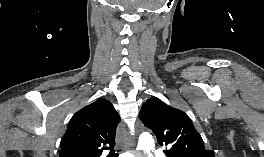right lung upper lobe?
<instances>
[{
	"label": "right lung upper lobe",
	"mask_w": 264,
	"mask_h": 157,
	"mask_svg": "<svg viewBox=\"0 0 264 157\" xmlns=\"http://www.w3.org/2000/svg\"><path fill=\"white\" fill-rule=\"evenodd\" d=\"M120 116L110 101L98 99L71 118L61 140L59 157H101L115 146Z\"/></svg>",
	"instance_id": "cb5924a9"
}]
</instances>
